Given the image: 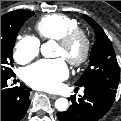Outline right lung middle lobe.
<instances>
[{
  "label": "right lung middle lobe",
  "instance_id": "obj_1",
  "mask_svg": "<svg viewBox=\"0 0 121 121\" xmlns=\"http://www.w3.org/2000/svg\"><path fill=\"white\" fill-rule=\"evenodd\" d=\"M34 15V12L22 10L19 14L1 21V77H10L14 73L12 51L16 36L25 21Z\"/></svg>",
  "mask_w": 121,
  "mask_h": 121
}]
</instances>
